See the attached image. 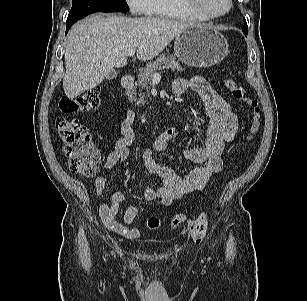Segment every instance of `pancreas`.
I'll return each instance as SVG.
<instances>
[{"label":"pancreas","instance_id":"cf45deb5","mask_svg":"<svg viewBox=\"0 0 307 301\" xmlns=\"http://www.w3.org/2000/svg\"><path fill=\"white\" fill-rule=\"evenodd\" d=\"M171 69L172 71H183L182 66L176 61L173 55H165L162 54L158 57L155 61L147 63L145 69L138 75V84L137 87L139 88L138 94V101L137 105H143L146 102L144 90L150 88V84L152 81L153 73L157 70H165ZM130 99L134 100L136 97L135 89L131 90L130 92Z\"/></svg>","mask_w":307,"mask_h":301}]
</instances>
